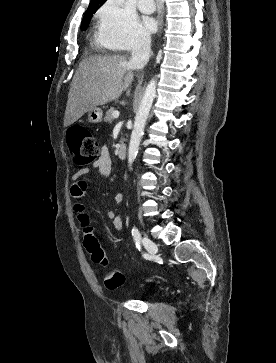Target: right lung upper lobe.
I'll return each mask as SVG.
<instances>
[{"mask_svg":"<svg viewBox=\"0 0 276 363\" xmlns=\"http://www.w3.org/2000/svg\"><path fill=\"white\" fill-rule=\"evenodd\" d=\"M104 1L105 0H91L89 6H92V5H98V6H100V5L103 4Z\"/></svg>","mask_w":276,"mask_h":363,"instance_id":"1","label":"right lung upper lobe"}]
</instances>
